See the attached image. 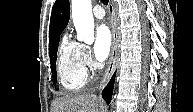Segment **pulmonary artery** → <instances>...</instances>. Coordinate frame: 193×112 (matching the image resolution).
I'll return each instance as SVG.
<instances>
[{"label": "pulmonary artery", "instance_id": "obj_1", "mask_svg": "<svg viewBox=\"0 0 193 112\" xmlns=\"http://www.w3.org/2000/svg\"><path fill=\"white\" fill-rule=\"evenodd\" d=\"M93 16L97 19H102L105 16V11L100 5L93 8Z\"/></svg>", "mask_w": 193, "mask_h": 112}]
</instances>
